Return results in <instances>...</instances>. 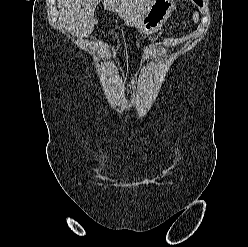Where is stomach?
<instances>
[{
    "mask_svg": "<svg viewBox=\"0 0 248 247\" xmlns=\"http://www.w3.org/2000/svg\"><path fill=\"white\" fill-rule=\"evenodd\" d=\"M174 10L173 0H152L136 27L141 34H152L163 26Z\"/></svg>",
    "mask_w": 248,
    "mask_h": 247,
    "instance_id": "1",
    "label": "stomach"
}]
</instances>
